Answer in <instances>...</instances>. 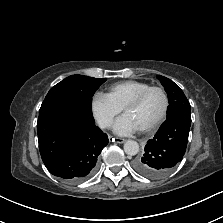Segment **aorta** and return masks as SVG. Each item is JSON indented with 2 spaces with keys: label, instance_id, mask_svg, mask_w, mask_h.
Instances as JSON below:
<instances>
[{
  "label": "aorta",
  "instance_id": "aorta-1",
  "mask_svg": "<svg viewBox=\"0 0 223 223\" xmlns=\"http://www.w3.org/2000/svg\"><path fill=\"white\" fill-rule=\"evenodd\" d=\"M124 151L127 155L134 156L139 152V144L134 140H127L124 143Z\"/></svg>",
  "mask_w": 223,
  "mask_h": 223
}]
</instances>
